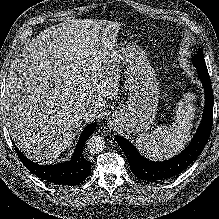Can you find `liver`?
<instances>
[{"mask_svg":"<svg viewBox=\"0 0 219 219\" xmlns=\"http://www.w3.org/2000/svg\"><path fill=\"white\" fill-rule=\"evenodd\" d=\"M120 24L67 19L41 31L11 64L4 95L10 134L36 162H50L70 148L82 108L98 114L115 97L119 69L114 53Z\"/></svg>","mask_w":219,"mask_h":219,"instance_id":"6515ba94","label":"liver"}]
</instances>
